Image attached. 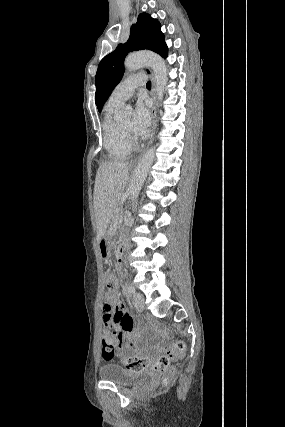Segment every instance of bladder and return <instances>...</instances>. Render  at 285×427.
Segmentation results:
<instances>
[{"instance_id": "obj_1", "label": "bladder", "mask_w": 285, "mask_h": 427, "mask_svg": "<svg viewBox=\"0 0 285 427\" xmlns=\"http://www.w3.org/2000/svg\"><path fill=\"white\" fill-rule=\"evenodd\" d=\"M99 376L103 381L113 382L119 385L146 381L153 377L148 371L137 370L128 372L121 365L116 363H107L101 366L99 369Z\"/></svg>"}]
</instances>
